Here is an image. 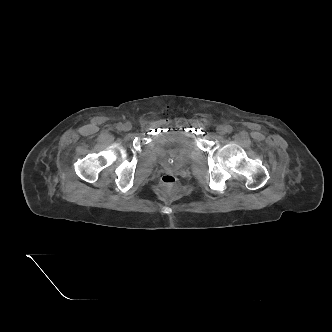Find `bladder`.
Here are the masks:
<instances>
[{
	"label": "bladder",
	"mask_w": 332,
	"mask_h": 332,
	"mask_svg": "<svg viewBox=\"0 0 332 332\" xmlns=\"http://www.w3.org/2000/svg\"><path fill=\"white\" fill-rule=\"evenodd\" d=\"M152 149L162 162L172 159L177 164H183L193 149V137L186 131L166 133L153 140Z\"/></svg>",
	"instance_id": "obj_1"
}]
</instances>
